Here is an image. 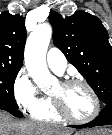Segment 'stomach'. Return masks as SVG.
Listing matches in <instances>:
<instances>
[{"label": "stomach", "mask_w": 112, "mask_h": 135, "mask_svg": "<svg viewBox=\"0 0 112 135\" xmlns=\"http://www.w3.org/2000/svg\"><path fill=\"white\" fill-rule=\"evenodd\" d=\"M75 135H108V134L106 133V130H102L101 134H96L95 132L92 131H88V132L81 131V132H76Z\"/></svg>", "instance_id": "1"}]
</instances>
